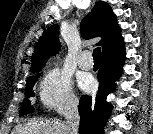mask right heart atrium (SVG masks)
<instances>
[{"label": "right heart atrium", "instance_id": "right-heart-atrium-1", "mask_svg": "<svg viewBox=\"0 0 153 134\" xmlns=\"http://www.w3.org/2000/svg\"><path fill=\"white\" fill-rule=\"evenodd\" d=\"M39 99L48 109L66 113L77 105L70 76L60 67H50L39 83Z\"/></svg>", "mask_w": 153, "mask_h": 134}]
</instances>
